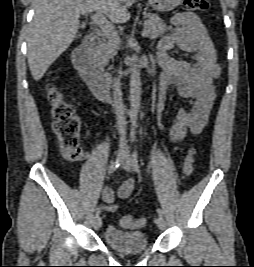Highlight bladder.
<instances>
[{
  "instance_id": "1",
  "label": "bladder",
  "mask_w": 254,
  "mask_h": 267,
  "mask_svg": "<svg viewBox=\"0 0 254 267\" xmlns=\"http://www.w3.org/2000/svg\"><path fill=\"white\" fill-rule=\"evenodd\" d=\"M104 241L110 247L125 253H136L148 246L146 235L141 231H125L116 226H108L103 234Z\"/></svg>"
}]
</instances>
